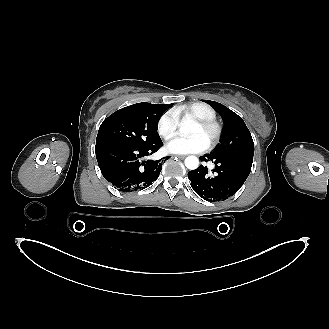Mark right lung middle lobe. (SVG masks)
I'll use <instances>...</instances> for the list:
<instances>
[{
  "mask_svg": "<svg viewBox=\"0 0 329 329\" xmlns=\"http://www.w3.org/2000/svg\"><path fill=\"white\" fill-rule=\"evenodd\" d=\"M172 105L137 103L116 111L101 124L96 144L117 142L150 146L160 142L157 133L158 121Z\"/></svg>",
  "mask_w": 329,
  "mask_h": 329,
  "instance_id": "1",
  "label": "right lung middle lobe"
}]
</instances>
